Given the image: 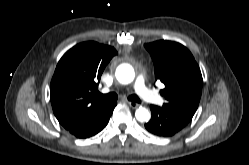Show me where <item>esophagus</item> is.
Segmentation results:
<instances>
[{
	"mask_svg": "<svg viewBox=\"0 0 249 165\" xmlns=\"http://www.w3.org/2000/svg\"><path fill=\"white\" fill-rule=\"evenodd\" d=\"M127 103L129 104V106L133 109H136L139 107V104L136 102H132V101H127Z\"/></svg>",
	"mask_w": 249,
	"mask_h": 165,
	"instance_id": "34e87169",
	"label": "esophagus"
}]
</instances>
